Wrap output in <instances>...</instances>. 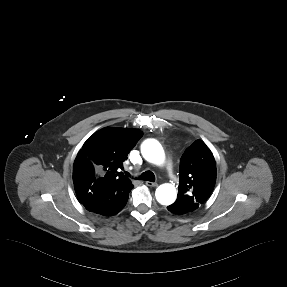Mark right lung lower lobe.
<instances>
[{
    "label": "right lung lower lobe",
    "instance_id": "98d812e1",
    "mask_svg": "<svg viewBox=\"0 0 287 287\" xmlns=\"http://www.w3.org/2000/svg\"><path fill=\"white\" fill-rule=\"evenodd\" d=\"M132 188L122 183L92 186L81 204L90 212L112 216L124 208Z\"/></svg>",
    "mask_w": 287,
    "mask_h": 287
}]
</instances>
